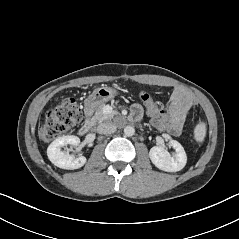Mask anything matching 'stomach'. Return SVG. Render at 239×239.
<instances>
[{
    "mask_svg": "<svg viewBox=\"0 0 239 239\" xmlns=\"http://www.w3.org/2000/svg\"><path fill=\"white\" fill-rule=\"evenodd\" d=\"M117 94V91L111 87H100L94 90L85 100L86 112L92 113L107 101L113 99Z\"/></svg>",
    "mask_w": 239,
    "mask_h": 239,
    "instance_id": "obj_1",
    "label": "stomach"
}]
</instances>
